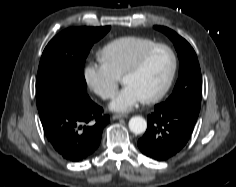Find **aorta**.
I'll use <instances>...</instances> for the list:
<instances>
[{
    "instance_id": "762f6f07",
    "label": "aorta",
    "mask_w": 236,
    "mask_h": 187,
    "mask_svg": "<svg viewBox=\"0 0 236 187\" xmlns=\"http://www.w3.org/2000/svg\"><path fill=\"white\" fill-rule=\"evenodd\" d=\"M129 129L134 134H142L147 129V122L143 117L135 116L129 120Z\"/></svg>"
}]
</instances>
